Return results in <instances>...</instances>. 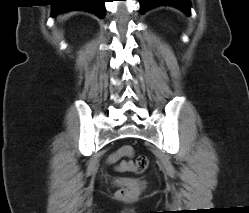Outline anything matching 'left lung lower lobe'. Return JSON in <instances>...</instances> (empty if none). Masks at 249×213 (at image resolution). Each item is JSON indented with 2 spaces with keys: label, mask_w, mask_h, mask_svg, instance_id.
Returning a JSON list of instances; mask_svg holds the SVG:
<instances>
[{
  "label": "left lung lower lobe",
  "mask_w": 249,
  "mask_h": 213,
  "mask_svg": "<svg viewBox=\"0 0 249 213\" xmlns=\"http://www.w3.org/2000/svg\"><path fill=\"white\" fill-rule=\"evenodd\" d=\"M140 13L160 5H170L184 10L187 14H190V0H139Z\"/></svg>",
  "instance_id": "1"
}]
</instances>
